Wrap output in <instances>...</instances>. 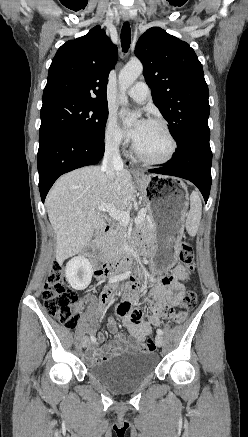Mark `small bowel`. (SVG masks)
Returning a JSON list of instances; mask_svg holds the SVG:
<instances>
[{
  "label": "small bowel",
  "instance_id": "obj_1",
  "mask_svg": "<svg viewBox=\"0 0 248 437\" xmlns=\"http://www.w3.org/2000/svg\"><path fill=\"white\" fill-rule=\"evenodd\" d=\"M187 277V269L179 265L175 268L173 276H166L161 280L149 282L151 289L144 295V301L150 303L151 314L146 321L142 319L139 310L130 308L131 303L138 300L139 292L143 291L146 281L142 277H135L131 280L124 300L118 306V313L128 326L130 336L136 342L144 341L150 334L152 327L159 326L163 320L171 317L173 307L179 304L184 294L183 281ZM116 290L117 286L115 284L111 286L103 285L98 300L94 296H90L88 301L97 306L100 311L112 300ZM108 328L114 335V340L99 348L96 346V341L103 342L105 334H98L96 341L87 349V358L91 364L106 361L124 350H133L135 348L134 344L128 342L126 335L119 331L115 319H109Z\"/></svg>",
  "mask_w": 248,
  "mask_h": 437
}]
</instances>
